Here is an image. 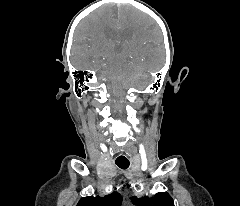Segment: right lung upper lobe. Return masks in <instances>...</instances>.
<instances>
[{"instance_id":"obj_1","label":"right lung upper lobe","mask_w":240,"mask_h":206,"mask_svg":"<svg viewBox=\"0 0 240 206\" xmlns=\"http://www.w3.org/2000/svg\"><path fill=\"white\" fill-rule=\"evenodd\" d=\"M122 197L118 192H113L105 197H83L76 206H120Z\"/></svg>"}]
</instances>
